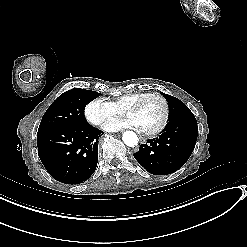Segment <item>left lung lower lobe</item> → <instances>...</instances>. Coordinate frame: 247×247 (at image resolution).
Listing matches in <instances>:
<instances>
[{
  "instance_id": "left-lung-lower-lobe-1",
  "label": "left lung lower lobe",
  "mask_w": 247,
  "mask_h": 247,
  "mask_svg": "<svg viewBox=\"0 0 247 247\" xmlns=\"http://www.w3.org/2000/svg\"><path fill=\"white\" fill-rule=\"evenodd\" d=\"M198 135L197 123L167 126L158 138L140 145L135 159L151 174L167 175L179 170L192 154Z\"/></svg>"
}]
</instances>
